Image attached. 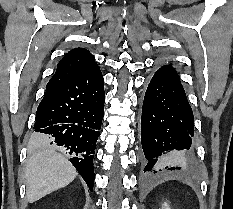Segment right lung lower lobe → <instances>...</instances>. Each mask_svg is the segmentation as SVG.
I'll return each mask as SVG.
<instances>
[{
  "mask_svg": "<svg viewBox=\"0 0 233 209\" xmlns=\"http://www.w3.org/2000/svg\"><path fill=\"white\" fill-rule=\"evenodd\" d=\"M98 65L46 89L34 129L66 148L70 161L93 191V158L104 114L105 92Z\"/></svg>",
  "mask_w": 233,
  "mask_h": 209,
  "instance_id": "98d812e1",
  "label": "right lung lower lobe"
}]
</instances>
